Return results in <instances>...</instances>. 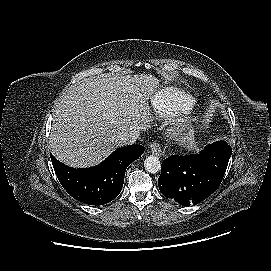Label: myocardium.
Instances as JSON below:
<instances>
[{
  "label": "myocardium",
  "instance_id": "f54148a6",
  "mask_svg": "<svg viewBox=\"0 0 271 271\" xmlns=\"http://www.w3.org/2000/svg\"><path fill=\"white\" fill-rule=\"evenodd\" d=\"M193 128L192 118L189 116H179L172 120L169 136L172 139H182L187 136Z\"/></svg>",
  "mask_w": 271,
  "mask_h": 271
}]
</instances>
